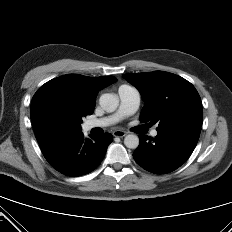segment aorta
<instances>
[{"label":"aorta","mask_w":232,"mask_h":232,"mask_svg":"<svg viewBox=\"0 0 232 232\" xmlns=\"http://www.w3.org/2000/svg\"><path fill=\"white\" fill-rule=\"evenodd\" d=\"M99 104L103 110L111 113L117 109L119 99L115 94L106 93L100 96ZM124 144L127 148L136 149L139 145V137L134 134H129L124 138Z\"/></svg>","instance_id":"aorta-1"}]
</instances>
